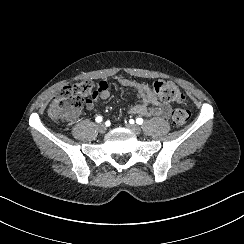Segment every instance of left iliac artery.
Masks as SVG:
<instances>
[{"instance_id":"obj_1","label":"left iliac artery","mask_w":244,"mask_h":244,"mask_svg":"<svg viewBox=\"0 0 244 244\" xmlns=\"http://www.w3.org/2000/svg\"><path fill=\"white\" fill-rule=\"evenodd\" d=\"M130 123L132 124V121H130ZM136 123L141 125L143 123V119L142 118H137L136 119Z\"/></svg>"}]
</instances>
